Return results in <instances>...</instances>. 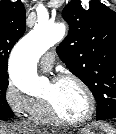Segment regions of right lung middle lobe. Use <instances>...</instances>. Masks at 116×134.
Masks as SVG:
<instances>
[{
	"instance_id": "right-lung-middle-lobe-1",
	"label": "right lung middle lobe",
	"mask_w": 116,
	"mask_h": 134,
	"mask_svg": "<svg viewBox=\"0 0 116 134\" xmlns=\"http://www.w3.org/2000/svg\"><path fill=\"white\" fill-rule=\"evenodd\" d=\"M8 84V75H0V119L7 118L13 113L5 97Z\"/></svg>"
}]
</instances>
